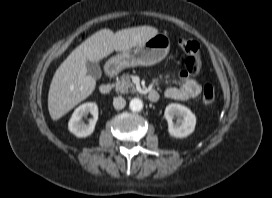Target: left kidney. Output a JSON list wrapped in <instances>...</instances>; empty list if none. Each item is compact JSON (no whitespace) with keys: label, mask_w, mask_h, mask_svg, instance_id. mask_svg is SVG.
Here are the masks:
<instances>
[{"label":"left kidney","mask_w":272,"mask_h":198,"mask_svg":"<svg viewBox=\"0 0 272 198\" xmlns=\"http://www.w3.org/2000/svg\"><path fill=\"white\" fill-rule=\"evenodd\" d=\"M168 122V132L172 137L185 138L193 133L196 125V116L184 105L171 103L164 112ZM177 117V124L173 119Z\"/></svg>","instance_id":"5707ae66"}]
</instances>
